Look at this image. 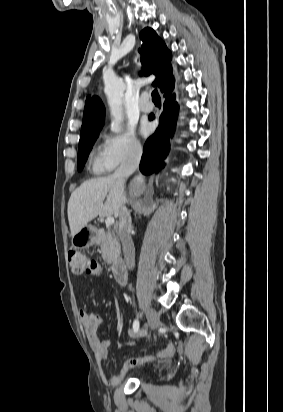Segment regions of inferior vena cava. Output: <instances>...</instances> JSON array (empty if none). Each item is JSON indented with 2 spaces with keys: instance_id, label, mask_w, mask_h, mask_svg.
Masks as SVG:
<instances>
[{
  "instance_id": "obj_1",
  "label": "inferior vena cava",
  "mask_w": 283,
  "mask_h": 412,
  "mask_svg": "<svg viewBox=\"0 0 283 412\" xmlns=\"http://www.w3.org/2000/svg\"><path fill=\"white\" fill-rule=\"evenodd\" d=\"M142 155V149L140 146L133 147L129 150L120 166L116 169L113 176L117 178L124 187L126 179L134 173L137 169ZM126 199L121 206L119 212V226L118 234L122 243L124 260L129 270H132L135 266V248L131 239V216L130 211L125 205Z\"/></svg>"
}]
</instances>
